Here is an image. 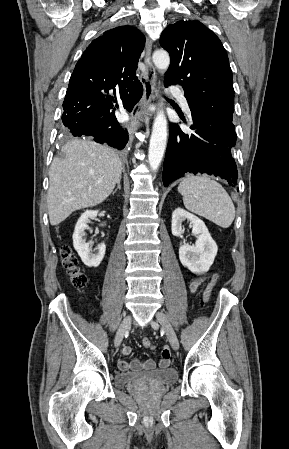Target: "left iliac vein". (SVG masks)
<instances>
[{"mask_svg": "<svg viewBox=\"0 0 289 449\" xmlns=\"http://www.w3.org/2000/svg\"><path fill=\"white\" fill-rule=\"evenodd\" d=\"M155 317H156L157 321H158V322L163 326V328L165 329L171 347H172L174 350H178V348H179V341H178V338H177V336H176V333H175L174 329L172 328V326H171V324H170V322H169L167 316H166L163 312L158 311V312L156 313ZM151 326H152L154 329H157L158 324H157L155 321H152V322H151Z\"/></svg>", "mask_w": 289, "mask_h": 449, "instance_id": "left-iliac-vein-1", "label": "left iliac vein"}]
</instances>
